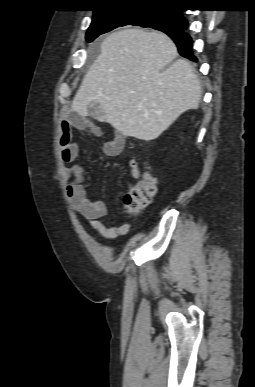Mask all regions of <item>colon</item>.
I'll use <instances>...</instances> for the list:
<instances>
[{
	"label": "colon",
	"mask_w": 255,
	"mask_h": 387,
	"mask_svg": "<svg viewBox=\"0 0 255 387\" xmlns=\"http://www.w3.org/2000/svg\"><path fill=\"white\" fill-rule=\"evenodd\" d=\"M157 189V179L147 170L142 178L130 189L125 197V210L131 216H137L152 201Z\"/></svg>",
	"instance_id": "5ec220e1"
}]
</instances>
